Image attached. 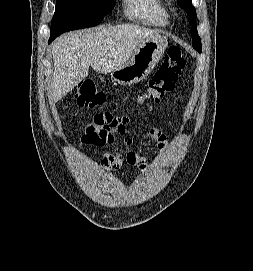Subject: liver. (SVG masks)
Segmentation results:
<instances>
[{
	"instance_id": "obj_1",
	"label": "liver",
	"mask_w": 253,
	"mask_h": 271,
	"mask_svg": "<svg viewBox=\"0 0 253 271\" xmlns=\"http://www.w3.org/2000/svg\"><path fill=\"white\" fill-rule=\"evenodd\" d=\"M160 36L134 24L101 26L60 36L52 45L51 99L59 101L88 76L89 66L109 73L123 66L140 42Z\"/></svg>"
}]
</instances>
